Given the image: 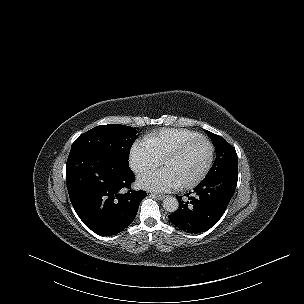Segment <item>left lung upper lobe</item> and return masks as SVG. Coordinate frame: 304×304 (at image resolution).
<instances>
[{"label": "left lung upper lobe", "instance_id": "1", "mask_svg": "<svg viewBox=\"0 0 304 304\" xmlns=\"http://www.w3.org/2000/svg\"><path fill=\"white\" fill-rule=\"evenodd\" d=\"M216 150V159L203 180L213 178L229 170L238 169V158L235 149L221 136L206 130Z\"/></svg>", "mask_w": 304, "mask_h": 304}]
</instances>
